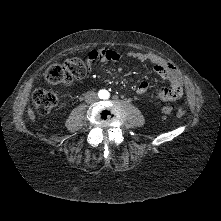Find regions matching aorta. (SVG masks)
<instances>
[{"label":"aorta","mask_w":221,"mask_h":221,"mask_svg":"<svg viewBox=\"0 0 221 221\" xmlns=\"http://www.w3.org/2000/svg\"><path fill=\"white\" fill-rule=\"evenodd\" d=\"M107 95H108V92L105 91V90H103V91L100 92V97L103 98V99L106 98Z\"/></svg>","instance_id":"762f6f07"}]
</instances>
